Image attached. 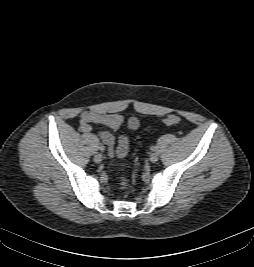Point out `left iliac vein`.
Wrapping results in <instances>:
<instances>
[{"instance_id": "1", "label": "left iliac vein", "mask_w": 254, "mask_h": 267, "mask_svg": "<svg viewBox=\"0 0 254 267\" xmlns=\"http://www.w3.org/2000/svg\"><path fill=\"white\" fill-rule=\"evenodd\" d=\"M150 161L152 162V163H155V162H157L158 161V159H159V154L157 153V152H153L151 155H150Z\"/></svg>"}]
</instances>
